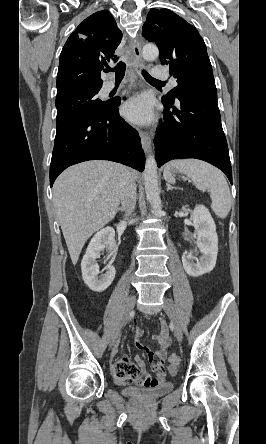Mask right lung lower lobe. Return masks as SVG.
I'll return each instance as SVG.
<instances>
[{
    "instance_id": "obj_1",
    "label": "right lung lower lobe",
    "mask_w": 266,
    "mask_h": 444,
    "mask_svg": "<svg viewBox=\"0 0 266 444\" xmlns=\"http://www.w3.org/2000/svg\"><path fill=\"white\" fill-rule=\"evenodd\" d=\"M120 100L102 113L74 121L56 132L50 164V186L67 167L88 160H110L144 170L138 132L120 116Z\"/></svg>"
}]
</instances>
